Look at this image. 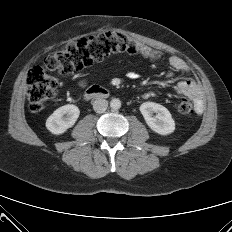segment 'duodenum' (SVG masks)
<instances>
[{"instance_id":"obj_1","label":"duodenum","mask_w":232,"mask_h":232,"mask_svg":"<svg viewBox=\"0 0 232 232\" xmlns=\"http://www.w3.org/2000/svg\"><path fill=\"white\" fill-rule=\"evenodd\" d=\"M108 95L109 90L100 86L91 87L84 92V98L86 100L105 98Z\"/></svg>"}]
</instances>
